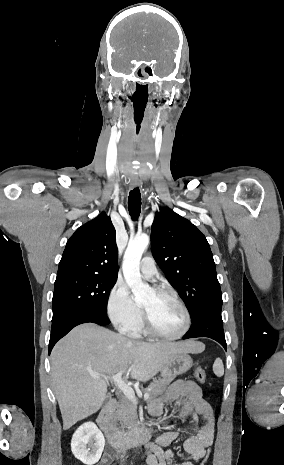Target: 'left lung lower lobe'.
<instances>
[{"mask_svg":"<svg viewBox=\"0 0 284 465\" xmlns=\"http://www.w3.org/2000/svg\"><path fill=\"white\" fill-rule=\"evenodd\" d=\"M195 337L214 339L226 350L221 311L209 310L194 318L189 331L184 335L183 339Z\"/></svg>","mask_w":284,"mask_h":465,"instance_id":"left-lung-lower-lobe-1","label":"left lung lower lobe"}]
</instances>
